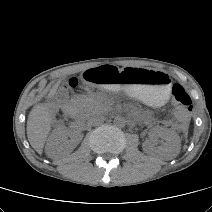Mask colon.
Segmentation results:
<instances>
[{
  "label": "colon",
  "mask_w": 212,
  "mask_h": 212,
  "mask_svg": "<svg viewBox=\"0 0 212 212\" xmlns=\"http://www.w3.org/2000/svg\"><path fill=\"white\" fill-rule=\"evenodd\" d=\"M79 84V79L74 77L68 80L67 87L76 88ZM171 101L174 106L175 116L181 120H187L192 111V99L186 89L181 84H174L171 92Z\"/></svg>",
  "instance_id": "colon-1"
}]
</instances>
